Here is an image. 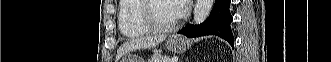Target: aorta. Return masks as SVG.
<instances>
[{
    "label": "aorta",
    "instance_id": "aorta-1",
    "mask_svg": "<svg viewBox=\"0 0 331 62\" xmlns=\"http://www.w3.org/2000/svg\"><path fill=\"white\" fill-rule=\"evenodd\" d=\"M215 0H196L194 8V24H201L209 16Z\"/></svg>",
    "mask_w": 331,
    "mask_h": 62
}]
</instances>
